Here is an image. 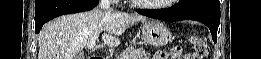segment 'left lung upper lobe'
<instances>
[{"label":"left lung upper lobe","mask_w":261,"mask_h":59,"mask_svg":"<svg viewBox=\"0 0 261 59\" xmlns=\"http://www.w3.org/2000/svg\"><path fill=\"white\" fill-rule=\"evenodd\" d=\"M186 1V0H179V2Z\"/></svg>","instance_id":"obj_1"}]
</instances>
